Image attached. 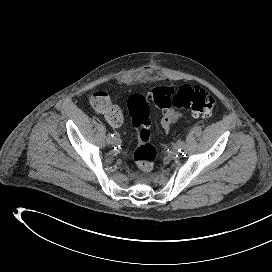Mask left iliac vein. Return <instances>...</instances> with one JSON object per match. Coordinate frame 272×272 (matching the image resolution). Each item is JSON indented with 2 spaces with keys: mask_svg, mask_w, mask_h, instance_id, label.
<instances>
[{
  "mask_svg": "<svg viewBox=\"0 0 272 272\" xmlns=\"http://www.w3.org/2000/svg\"><path fill=\"white\" fill-rule=\"evenodd\" d=\"M176 154H179L177 150V146H175L174 150L170 152V155H176Z\"/></svg>",
  "mask_w": 272,
  "mask_h": 272,
  "instance_id": "obj_1",
  "label": "left iliac vein"
}]
</instances>
